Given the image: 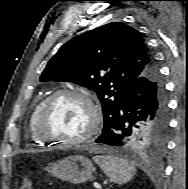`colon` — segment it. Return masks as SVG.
<instances>
[{
  "label": "colon",
  "mask_w": 188,
  "mask_h": 189,
  "mask_svg": "<svg viewBox=\"0 0 188 189\" xmlns=\"http://www.w3.org/2000/svg\"><path fill=\"white\" fill-rule=\"evenodd\" d=\"M18 189H32V182L27 175H24L22 177V181Z\"/></svg>",
  "instance_id": "5ec220e1"
}]
</instances>
